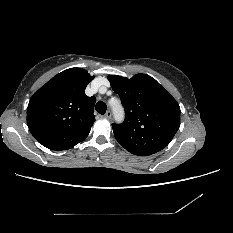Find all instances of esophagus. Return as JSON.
<instances>
[{"label": "esophagus", "mask_w": 233, "mask_h": 233, "mask_svg": "<svg viewBox=\"0 0 233 233\" xmlns=\"http://www.w3.org/2000/svg\"><path fill=\"white\" fill-rule=\"evenodd\" d=\"M111 116H112V113H111L110 111H107V112L105 113V115H104V117H105V118H108V119H110Z\"/></svg>", "instance_id": "esophagus-1"}]
</instances>
